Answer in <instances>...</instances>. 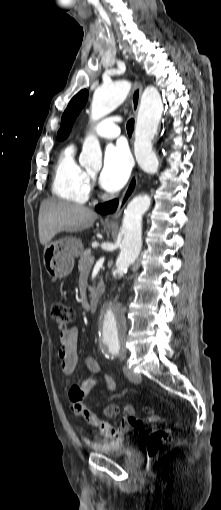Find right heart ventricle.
<instances>
[{
  "instance_id": "right-heart-ventricle-1",
  "label": "right heart ventricle",
  "mask_w": 221,
  "mask_h": 510,
  "mask_svg": "<svg viewBox=\"0 0 221 510\" xmlns=\"http://www.w3.org/2000/svg\"><path fill=\"white\" fill-rule=\"evenodd\" d=\"M75 152L73 145L61 151L54 168L52 191L59 198L84 204L90 193L89 177L77 162Z\"/></svg>"
}]
</instances>
